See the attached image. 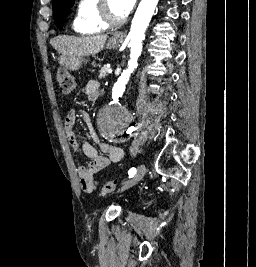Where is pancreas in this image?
Masks as SVG:
<instances>
[{
    "mask_svg": "<svg viewBox=\"0 0 256 267\" xmlns=\"http://www.w3.org/2000/svg\"><path fill=\"white\" fill-rule=\"evenodd\" d=\"M108 70H109V68H106V66H103V68H101V70H100L99 78H104V76H108V74H107Z\"/></svg>",
    "mask_w": 256,
    "mask_h": 267,
    "instance_id": "1",
    "label": "pancreas"
}]
</instances>
